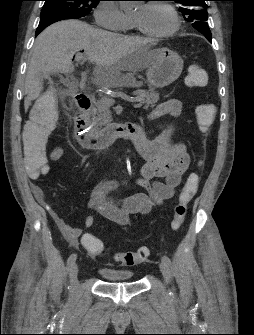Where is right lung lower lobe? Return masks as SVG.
Here are the masks:
<instances>
[{
	"mask_svg": "<svg viewBox=\"0 0 254 335\" xmlns=\"http://www.w3.org/2000/svg\"><path fill=\"white\" fill-rule=\"evenodd\" d=\"M64 19H72V18L65 16V15H48V16L42 17L40 19L35 36H37L44 28L51 25L52 23H55L57 21L64 20Z\"/></svg>",
	"mask_w": 254,
	"mask_h": 335,
	"instance_id": "1",
	"label": "right lung lower lobe"
}]
</instances>
